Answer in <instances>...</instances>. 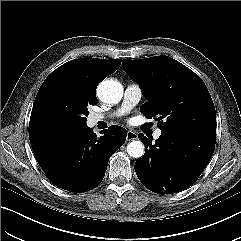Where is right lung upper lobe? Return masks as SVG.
I'll return each instance as SVG.
<instances>
[{
	"label": "right lung upper lobe",
	"instance_id": "1",
	"mask_svg": "<svg viewBox=\"0 0 241 241\" xmlns=\"http://www.w3.org/2000/svg\"><path fill=\"white\" fill-rule=\"evenodd\" d=\"M121 64V60L80 58L71 60L54 70L44 81L38 95L49 87L64 86L89 104H97L96 88Z\"/></svg>",
	"mask_w": 241,
	"mask_h": 241
}]
</instances>
